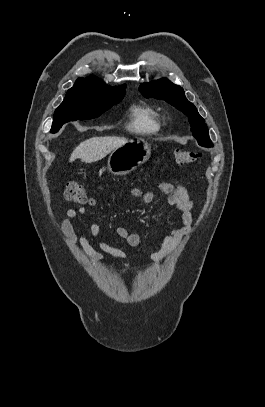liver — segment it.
Listing matches in <instances>:
<instances>
[{"mask_svg": "<svg viewBox=\"0 0 265 407\" xmlns=\"http://www.w3.org/2000/svg\"><path fill=\"white\" fill-rule=\"evenodd\" d=\"M127 142L128 139L124 137H93L80 143L72 152L69 161L80 158L86 163L96 162Z\"/></svg>", "mask_w": 265, "mask_h": 407, "instance_id": "liver-1", "label": "liver"}]
</instances>
